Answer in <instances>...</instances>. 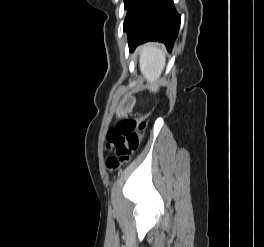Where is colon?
I'll return each instance as SVG.
<instances>
[{
    "instance_id": "1",
    "label": "colon",
    "mask_w": 264,
    "mask_h": 247,
    "mask_svg": "<svg viewBox=\"0 0 264 247\" xmlns=\"http://www.w3.org/2000/svg\"><path fill=\"white\" fill-rule=\"evenodd\" d=\"M146 116L138 119H126L119 122L107 133V147L115 150V156L106 160L109 170H117L130 161L132 153L138 148L146 129Z\"/></svg>"
}]
</instances>
